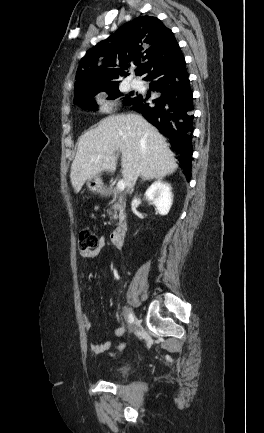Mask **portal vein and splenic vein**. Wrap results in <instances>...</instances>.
I'll return each instance as SVG.
<instances>
[{"mask_svg": "<svg viewBox=\"0 0 264 433\" xmlns=\"http://www.w3.org/2000/svg\"><path fill=\"white\" fill-rule=\"evenodd\" d=\"M125 187H126V183H125L124 180L118 181V183H117V189L119 191H123L125 189Z\"/></svg>", "mask_w": 264, "mask_h": 433, "instance_id": "portal-vein-and-splenic-vein-1", "label": "portal vein and splenic vein"}]
</instances>
